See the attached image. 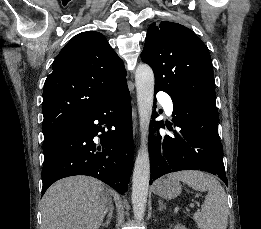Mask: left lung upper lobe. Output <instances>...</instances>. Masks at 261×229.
<instances>
[{"mask_svg": "<svg viewBox=\"0 0 261 229\" xmlns=\"http://www.w3.org/2000/svg\"><path fill=\"white\" fill-rule=\"evenodd\" d=\"M141 59L153 69L155 86L170 96L197 98L216 106L209 51L190 29L169 21L153 23Z\"/></svg>", "mask_w": 261, "mask_h": 229, "instance_id": "obj_1", "label": "left lung upper lobe"}]
</instances>
